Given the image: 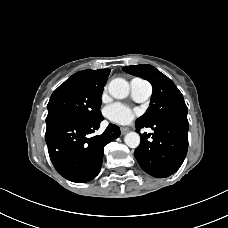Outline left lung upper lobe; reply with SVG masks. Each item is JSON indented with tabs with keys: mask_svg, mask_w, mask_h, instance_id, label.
<instances>
[{
	"mask_svg": "<svg viewBox=\"0 0 228 228\" xmlns=\"http://www.w3.org/2000/svg\"><path fill=\"white\" fill-rule=\"evenodd\" d=\"M123 70L148 80L153 87L150 106L137 122L153 124L174 113L187 111L183 95L173 81L152 65H132L124 67Z\"/></svg>",
	"mask_w": 228,
	"mask_h": 228,
	"instance_id": "obj_1",
	"label": "left lung upper lobe"
}]
</instances>
